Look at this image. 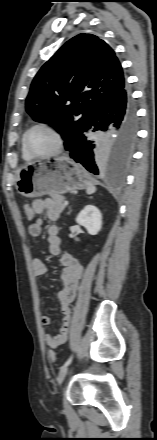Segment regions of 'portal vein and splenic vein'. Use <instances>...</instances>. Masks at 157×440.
Instances as JSON below:
<instances>
[{
	"label": "portal vein and splenic vein",
	"instance_id": "portal-vein-and-splenic-vein-1",
	"mask_svg": "<svg viewBox=\"0 0 157 440\" xmlns=\"http://www.w3.org/2000/svg\"><path fill=\"white\" fill-rule=\"evenodd\" d=\"M64 205H68V201H64Z\"/></svg>",
	"mask_w": 157,
	"mask_h": 440
}]
</instances>
